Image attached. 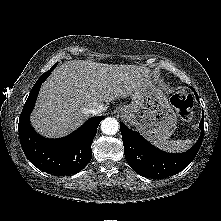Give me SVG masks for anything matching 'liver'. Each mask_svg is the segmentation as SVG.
I'll return each instance as SVG.
<instances>
[{
	"mask_svg": "<svg viewBox=\"0 0 221 221\" xmlns=\"http://www.w3.org/2000/svg\"><path fill=\"white\" fill-rule=\"evenodd\" d=\"M148 72L136 65L66 61L43 83L31 124L43 136H65L89 118L86 109L92 105H102L106 110L110 102L129 97L147 84Z\"/></svg>",
	"mask_w": 221,
	"mask_h": 221,
	"instance_id": "liver-1",
	"label": "liver"
}]
</instances>
